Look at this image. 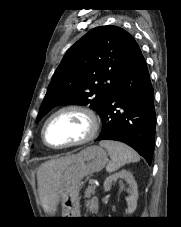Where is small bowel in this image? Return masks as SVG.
<instances>
[{"mask_svg":"<svg viewBox=\"0 0 181 227\" xmlns=\"http://www.w3.org/2000/svg\"><path fill=\"white\" fill-rule=\"evenodd\" d=\"M98 208L99 205L97 199L92 198L87 202V209L89 210L90 213L96 214L98 212Z\"/></svg>","mask_w":181,"mask_h":227,"instance_id":"c3829d8e","label":"small bowel"}]
</instances>
